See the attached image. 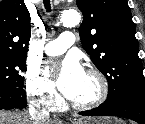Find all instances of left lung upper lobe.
I'll list each match as a JSON object with an SVG mask.
<instances>
[{
  "instance_id": "left-lung-upper-lobe-1",
  "label": "left lung upper lobe",
  "mask_w": 145,
  "mask_h": 124,
  "mask_svg": "<svg viewBox=\"0 0 145 124\" xmlns=\"http://www.w3.org/2000/svg\"><path fill=\"white\" fill-rule=\"evenodd\" d=\"M84 15L79 28L83 48L109 85L106 101L124 95L145 98L135 24L127 0H77Z\"/></svg>"
}]
</instances>
